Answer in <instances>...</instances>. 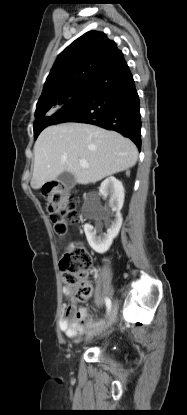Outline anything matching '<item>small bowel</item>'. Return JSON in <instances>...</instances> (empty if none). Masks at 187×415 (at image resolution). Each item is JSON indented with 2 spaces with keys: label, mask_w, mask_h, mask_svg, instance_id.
Listing matches in <instances>:
<instances>
[{
  "label": "small bowel",
  "mask_w": 187,
  "mask_h": 415,
  "mask_svg": "<svg viewBox=\"0 0 187 415\" xmlns=\"http://www.w3.org/2000/svg\"><path fill=\"white\" fill-rule=\"evenodd\" d=\"M73 245L74 243H70L67 248L70 249ZM92 322L89 309L84 307L76 309L74 305H68L63 309L60 328L66 336L78 340L90 328Z\"/></svg>",
  "instance_id": "obj_1"
}]
</instances>
